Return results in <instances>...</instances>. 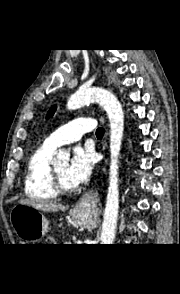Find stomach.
I'll list each match as a JSON object with an SVG mask.
<instances>
[{"label":"stomach","instance_id":"1","mask_svg":"<svg viewBox=\"0 0 180 294\" xmlns=\"http://www.w3.org/2000/svg\"><path fill=\"white\" fill-rule=\"evenodd\" d=\"M73 220L83 228H93L96 221L87 210L73 211ZM12 227L16 235L27 244H33L47 233L46 217L34 207L27 204H17L10 215Z\"/></svg>","mask_w":180,"mask_h":294}]
</instances>
